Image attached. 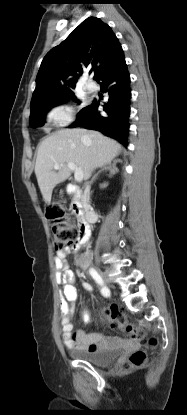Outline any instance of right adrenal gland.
Here are the masks:
<instances>
[{
  "label": "right adrenal gland",
  "mask_w": 187,
  "mask_h": 415,
  "mask_svg": "<svg viewBox=\"0 0 187 415\" xmlns=\"http://www.w3.org/2000/svg\"><path fill=\"white\" fill-rule=\"evenodd\" d=\"M115 166H116V162H114L113 164L108 163V164L104 165V166L101 168V170H100V171H98V173L94 175V177L92 178L91 183H93V182L97 179L98 175H99L102 171H104V170H109L111 174H114V172H115V170H116V167H115Z\"/></svg>",
  "instance_id": "obj_1"
}]
</instances>
